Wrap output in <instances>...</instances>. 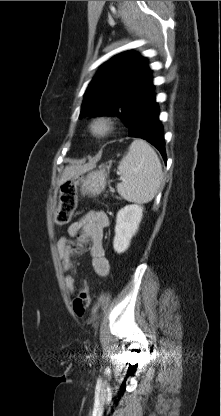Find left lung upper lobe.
<instances>
[{
    "instance_id": "1",
    "label": "left lung upper lobe",
    "mask_w": 221,
    "mask_h": 416,
    "mask_svg": "<svg viewBox=\"0 0 221 416\" xmlns=\"http://www.w3.org/2000/svg\"><path fill=\"white\" fill-rule=\"evenodd\" d=\"M144 62L135 53L114 56L89 84L79 118L117 115L129 127L136 108L154 89L151 70Z\"/></svg>"
}]
</instances>
